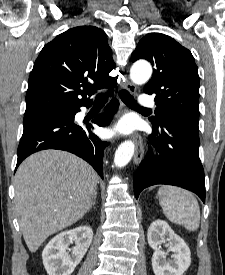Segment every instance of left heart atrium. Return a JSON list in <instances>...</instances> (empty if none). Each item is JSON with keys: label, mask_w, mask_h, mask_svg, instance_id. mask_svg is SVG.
I'll use <instances>...</instances> for the list:
<instances>
[{"label": "left heart atrium", "mask_w": 225, "mask_h": 275, "mask_svg": "<svg viewBox=\"0 0 225 275\" xmlns=\"http://www.w3.org/2000/svg\"><path fill=\"white\" fill-rule=\"evenodd\" d=\"M132 124L128 121H123L121 122L117 128H116V131L119 132V133H128L132 130Z\"/></svg>", "instance_id": "39dd6f15"}]
</instances>
